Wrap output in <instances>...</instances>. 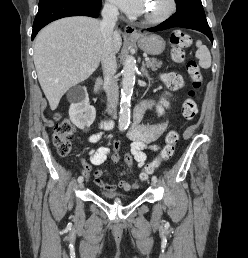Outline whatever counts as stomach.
I'll return each mask as SVG.
<instances>
[{
  "label": "stomach",
  "mask_w": 248,
  "mask_h": 258,
  "mask_svg": "<svg viewBox=\"0 0 248 258\" xmlns=\"http://www.w3.org/2000/svg\"><path fill=\"white\" fill-rule=\"evenodd\" d=\"M141 50L150 55H159L165 49V41L162 37L155 34L142 35L136 38Z\"/></svg>",
  "instance_id": "0dacf381"
}]
</instances>
